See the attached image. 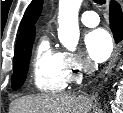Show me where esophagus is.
Instances as JSON below:
<instances>
[{
  "mask_svg": "<svg viewBox=\"0 0 123 113\" xmlns=\"http://www.w3.org/2000/svg\"><path fill=\"white\" fill-rule=\"evenodd\" d=\"M115 59H116V51H114L112 62H114ZM110 67H111V64L106 68V70L104 71V74H106L109 71Z\"/></svg>",
  "mask_w": 123,
  "mask_h": 113,
  "instance_id": "34e87169",
  "label": "esophagus"
}]
</instances>
